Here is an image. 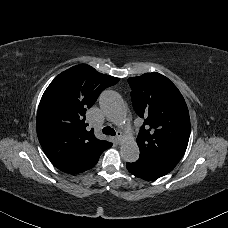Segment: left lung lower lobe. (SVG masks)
Segmentation results:
<instances>
[{"label":"left lung lower lobe","instance_id":"obj_1","mask_svg":"<svg viewBox=\"0 0 228 228\" xmlns=\"http://www.w3.org/2000/svg\"><path fill=\"white\" fill-rule=\"evenodd\" d=\"M175 166L174 162L144 153H140L136 162L126 164L130 173L144 180L162 177L172 171Z\"/></svg>","mask_w":228,"mask_h":228}]
</instances>
